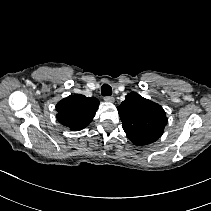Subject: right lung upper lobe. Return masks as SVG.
<instances>
[{
    "instance_id": "right-lung-upper-lobe-1",
    "label": "right lung upper lobe",
    "mask_w": 211,
    "mask_h": 211,
    "mask_svg": "<svg viewBox=\"0 0 211 211\" xmlns=\"http://www.w3.org/2000/svg\"><path fill=\"white\" fill-rule=\"evenodd\" d=\"M99 101L81 94L70 95L56 105L57 120L72 131L85 128L94 118Z\"/></svg>"
}]
</instances>
